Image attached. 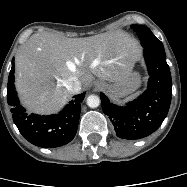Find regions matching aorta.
Instances as JSON below:
<instances>
[{"label": "aorta", "instance_id": "762f6f07", "mask_svg": "<svg viewBox=\"0 0 187 187\" xmlns=\"http://www.w3.org/2000/svg\"><path fill=\"white\" fill-rule=\"evenodd\" d=\"M87 105L90 108H96L100 105V98L96 95H90L87 98Z\"/></svg>", "mask_w": 187, "mask_h": 187}]
</instances>
